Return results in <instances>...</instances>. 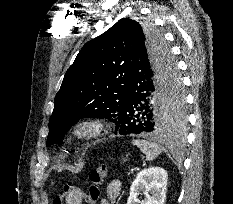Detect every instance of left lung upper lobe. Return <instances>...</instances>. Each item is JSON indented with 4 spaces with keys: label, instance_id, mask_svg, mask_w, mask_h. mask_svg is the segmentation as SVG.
Wrapping results in <instances>:
<instances>
[{
    "label": "left lung upper lobe",
    "instance_id": "left-lung-upper-lobe-1",
    "mask_svg": "<svg viewBox=\"0 0 233 204\" xmlns=\"http://www.w3.org/2000/svg\"><path fill=\"white\" fill-rule=\"evenodd\" d=\"M141 48L149 49L156 66L162 55L161 71L170 82L175 62L163 37L150 25L123 18L99 37L87 42L65 73L54 100L49 121L47 147L59 140L78 120L106 118L120 129V107L128 93L133 62ZM185 96L181 80L159 109L160 131L185 124Z\"/></svg>",
    "mask_w": 233,
    "mask_h": 204
}]
</instances>
